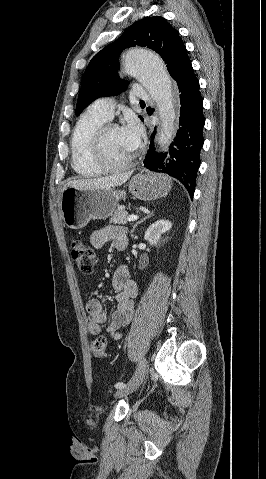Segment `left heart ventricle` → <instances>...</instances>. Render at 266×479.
<instances>
[{"mask_svg":"<svg viewBox=\"0 0 266 479\" xmlns=\"http://www.w3.org/2000/svg\"><path fill=\"white\" fill-rule=\"evenodd\" d=\"M104 151L107 159L114 164L125 162L133 154L121 129L111 130L107 133L104 141Z\"/></svg>","mask_w":266,"mask_h":479,"instance_id":"1","label":"left heart ventricle"}]
</instances>
